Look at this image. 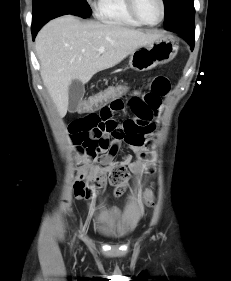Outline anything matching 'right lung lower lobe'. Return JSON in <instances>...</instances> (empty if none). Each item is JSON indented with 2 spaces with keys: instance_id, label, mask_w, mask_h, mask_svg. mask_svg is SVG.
Here are the masks:
<instances>
[{
  "instance_id": "obj_1",
  "label": "right lung lower lobe",
  "mask_w": 231,
  "mask_h": 281,
  "mask_svg": "<svg viewBox=\"0 0 231 281\" xmlns=\"http://www.w3.org/2000/svg\"><path fill=\"white\" fill-rule=\"evenodd\" d=\"M66 14H73V15L81 16L83 18H87V16L79 12L76 7L67 4L63 1L48 0L44 2V4L32 14L31 31H32L33 40L35 39L37 32L41 29V27L45 23H47L51 19Z\"/></svg>"
}]
</instances>
